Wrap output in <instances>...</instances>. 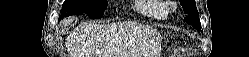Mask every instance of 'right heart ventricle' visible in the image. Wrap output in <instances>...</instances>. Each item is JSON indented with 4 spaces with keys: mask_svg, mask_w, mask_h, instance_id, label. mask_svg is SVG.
<instances>
[{
    "mask_svg": "<svg viewBox=\"0 0 249 57\" xmlns=\"http://www.w3.org/2000/svg\"><path fill=\"white\" fill-rule=\"evenodd\" d=\"M135 10L153 20H164L168 17V10L160 0H139L135 5Z\"/></svg>",
    "mask_w": 249,
    "mask_h": 57,
    "instance_id": "right-heart-ventricle-1",
    "label": "right heart ventricle"
}]
</instances>
